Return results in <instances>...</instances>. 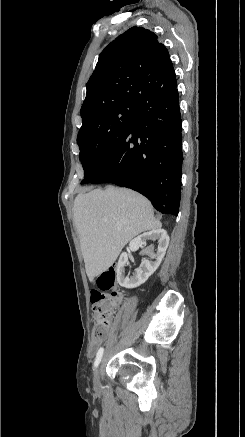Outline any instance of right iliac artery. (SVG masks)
<instances>
[{"label":"right iliac artery","mask_w":245,"mask_h":437,"mask_svg":"<svg viewBox=\"0 0 245 437\" xmlns=\"http://www.w3.org/2000/svg\"><path fill=\"white\" fill-rule=\"evenodd\" d=\"M103 352H104V349H103V348H100V349L98 350L97 355H96V359H95V363H94V367H95V368L98 367V365H99V363H100V361H101V359H102Z\"/></svg>","instance_id":"82829eb1"}]
</instances>
